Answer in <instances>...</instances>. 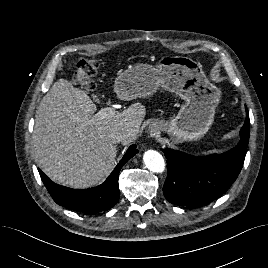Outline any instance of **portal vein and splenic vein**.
I'll use <instances>...</instances> for the list:
<instances>
[{"label": "portal vein and splenic vein", "mask_w": 268, "mask_h": 268, "mask_svg": "<svg viewBox=\"0 0 268 268\" xmlns=\"http://www.w3.org/2000/svg\"><path fill=\"white\" fill-rule=\"evenodd\" d=\"M115 114H116L115 108L105 107V108H102L96 115L101 119H105V118L113 117Z\"/></svg>", "instance_id": "obj_1"}]
</instances>
